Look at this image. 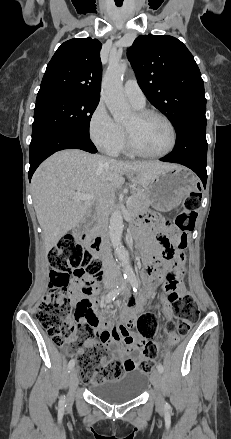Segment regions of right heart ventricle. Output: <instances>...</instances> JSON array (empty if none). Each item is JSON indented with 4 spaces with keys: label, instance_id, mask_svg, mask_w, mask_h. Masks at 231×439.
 I'll use <instances>...</instances> for the list:
<instances>
[{
    "label": "right heart ventricle",
    "instance_id": "right-heart-ventricle-1",
    "mask_svg": "<svg viewBox=\"0 0 231 439\" xmlns=\"http://www.w3.org/2000/svg\"><path fill=\"white\" fill-rule=\"evenodd\" d=\"M138 109H140V108H138ZM125 149H126V145H125V140L123 139L121 146H120L119 149H118L117 151H115L114 153L119 152V151H123V150H125Z\"/></svg>",
    "mask_w": 231,
    "mask_h": 439
}]
</instances>
